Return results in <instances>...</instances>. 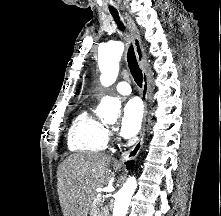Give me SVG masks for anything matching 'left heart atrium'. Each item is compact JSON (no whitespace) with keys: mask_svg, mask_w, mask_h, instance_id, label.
Segmentation results:
<instances>
[{"mask_svg":"<svg viewBox=\"0 0 221 216\" xmlns=\"http://www.w3.org/2000/svg\"><path fill=\"white\" fill-rule=\"evenodd\" d=\"M143 110L136 99L129 100L123 107L120 134L125 138L133 137L140 129Z\"/></svg>","mask_w":221,"mask_h":216,"instance_id":"left-heart-atrium-1","label":"left heart atrium"}]
</instances>
